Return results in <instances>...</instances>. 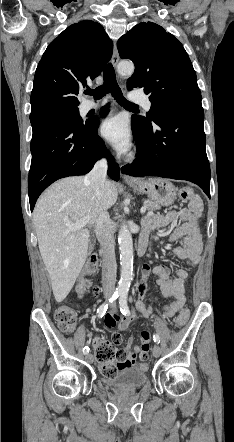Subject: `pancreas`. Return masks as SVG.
<instances>
[{
  "mask_svg": "<svg viewBox=\"0 0 234 442\" xmlns=\"http://www.w3.org/2000/svg\"><path fill=\"white\" fill-rule=\"evenodd\" d=\"M144 206L149 211L159 210L161 208V206H160V204L158 202L152 201V200H147L144 203Z\"/></svg>",
  "mask_w": 234,
  "mask_h": 442,
  "instance_id": "1",
  "label": "pancreas"
}]
</instances>
